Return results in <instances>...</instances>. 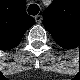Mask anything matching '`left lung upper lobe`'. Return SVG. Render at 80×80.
Wrapping results in <instances>:
<instances>
[{"label": "left lung upper lobe", "instance_id": "left-lung-upper-lobe-1", "mask_svg": "<svg viewBox=\"0 0 80 80\" xmlns=\"http://www.w3.org/2000/svg\"><path fill=\"white\" fill-rule=\"evenodd\" d=\"M70 0H53L45 10L43 22L58 44H69L73 40L74 32L78 31L69 7ZM77 24V21H76Z\"/></svg>", "mask_w": 80, "mask_h": 80}]
</instances>
